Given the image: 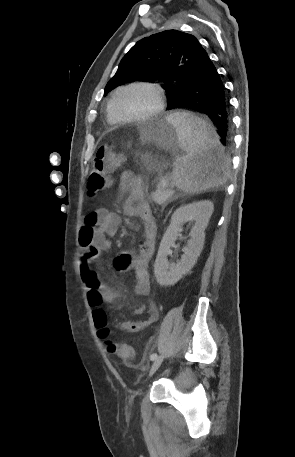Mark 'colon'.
Returning a JSON list of instances; mask_svg holds the SVG:
<instances>
[{"label":"colon","instance_id":"obj_1","mask_svg":"<svg viewBox=\"0 0 295 457\" xmlns=\"http://www.w3.org/2000/svg\"><path fill=\"white\" fill-rule=\"evenodd\" d=\"M123 160V155L117 152L113 145H103L97 150L87 183L90 196L98 194L109 185V175L121 165ZM93 319L99 337L105 338L109 333L107 313L101 308H96L93 311ZM105 349L108 350L109 355H117L120 360L129 361L133 358L132 347L122 344L121 341H106Z\"/></svg>","mask_w":295,"mask_h":457}]
</instances>
